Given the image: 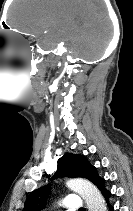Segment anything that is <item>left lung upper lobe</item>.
<instances>
[{
  "mask_svg": "<svg viewBox=\"0 0 133 211\" xmlns=\"http://www.w3.org/2000/svg\"><path fill=\"white\" fill-rule=\"evenodd\" d=\"M49 177V175H46ZM81 177L93 182L100 191L104 189V179L100 178L96 168L78 154L67 153L58 160V169L53 179L59 177ZM51 186L47 185L34 190L27 198L23 211H40L46 205Z\"/></svg>",
  "mask_w": 133,
  "mask_h": 211,
  "instance_id": "left-lung-upper-lobe-1",
  "label": "left lung upper lobe"
}]
</instances>
